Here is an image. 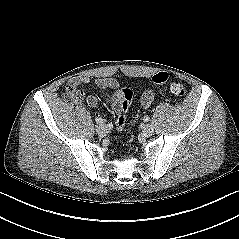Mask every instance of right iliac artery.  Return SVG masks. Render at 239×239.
I'll use <instances>...</instances> for the list:
<instances>
[{"mask_svg":"<svg viewBox=\"0 0 239 239\" xmlns=\"http://www.w3.org/2000/svg\"><path fill=\"white\" fill-rule=\"evenodd\" d=\"M95 121L99 124L104 123V120L102 118H96Z\"/></svg>","mask_w":239,"mask_h":239,"instance_id":"1","label":"right iliac artery"}]
</instances>
